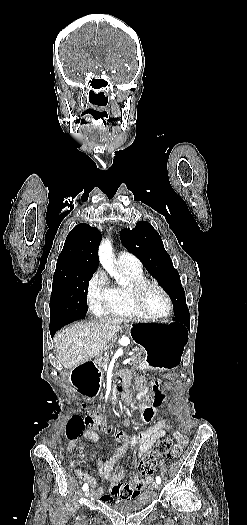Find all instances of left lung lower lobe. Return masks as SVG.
Returning <instances> with one entry per match:
<instances>
[{"label":"left lung lower lobe","mask_w":247,"mask_h":525,"mask_svg":"<svg viewBox=\"0 0 247 525\" xmlns=\"http://www.w3.org/2000/svg\"><path fill=\"white\" fill-rule=\"evenodd\" d=\"M173 320L183 323L186 326H190L189 316L174 317Z\"/></svg>","instance_id":"obj_1"}]
</instances>
